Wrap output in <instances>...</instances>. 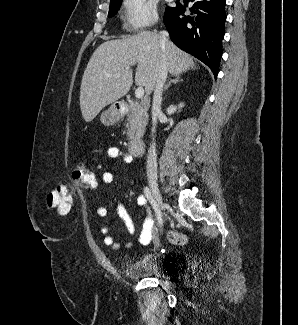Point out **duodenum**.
Wrapping results in <instances>:
<instances>
[{
	"instance_id": "obj_1",
	"label": "duodenum",
	"mask_w": 298,
	"mask_h": 325,
	"mask_svg": "<svg viewBox=\"0 0 298 325\" xmlns=\"http://www.w3.org/2000/svg\"><path fill=\"white\" fill-rule=\"evenodd\" d=\"M150 101L148 98H144L141 101V106L147 107L149 106ZM132 108L131 105L128 104H122L118 107V112L120 114H124L128 112ZM145 149V140L143 137L138 136L133 138L129 143V151L133 156H139L144 152Z\"/></svg>"
}]
</instances>
